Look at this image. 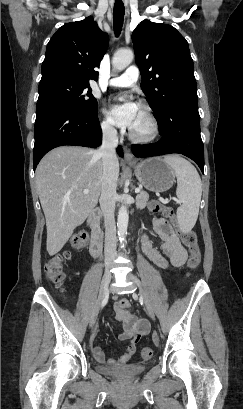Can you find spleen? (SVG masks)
<instances>
[{"label": "spleen", "mask_w": 243, "mask_h": 409, "mask_svg": "<svg viewBox=\"0 0 243 409\" xmlns=\"http://www.w3.org/2000/svg\"><path fill=\"white\" fill-rule=\"evenodd\" d=\"M164 161L171 166L177 177L176 195L181 203L177 209L180 230L189 232L198 218L202 195L201 178L196 168L179 155H167Z\"/></svg>", "instance_id": "3e777b00"}]
</instances>
